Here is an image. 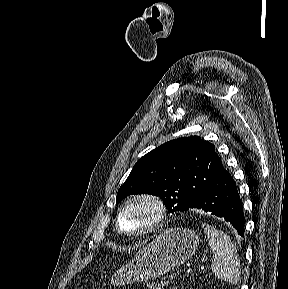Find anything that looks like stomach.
Returning <instances> with one entry per match:
<instances>
[{
  "instance_id": "stomach-1",
  "label": "stomach",
  "mask_w": 288,
  "mask_h": 289,
  "mask_svg": "<svg viewBox=\"0 0 288 289\" xmlns=\"http://www.w3.org/2000/svg\"><path fill=\"white\" fill-rule=\"evenodd\" d=\"M199 237L189 228L174 227L160 233L150 244L139 250L111 278L113 286L148 281L182 265L196 252Z\"/></svg>"
}]
</instances>
